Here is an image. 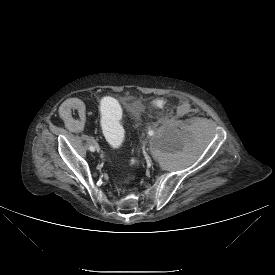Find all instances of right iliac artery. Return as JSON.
<instances>
[{"label": "right iliac artery", "mask_w": 275, "mask_h": 275, "mask_svg": "<svg viewBox=\"0 0 275 275\" xmlns=\"http://www.w3.org/2000/svg\"><path fill=\"white\" fill-rule=\"evenodd\" d=\"M90 151H95V148L93 146H90Z\"/></svg>", "instance_id": "82829eb1"}]
</instances>
